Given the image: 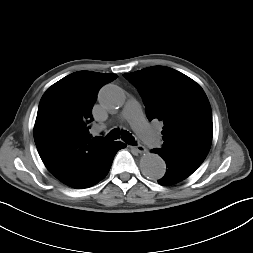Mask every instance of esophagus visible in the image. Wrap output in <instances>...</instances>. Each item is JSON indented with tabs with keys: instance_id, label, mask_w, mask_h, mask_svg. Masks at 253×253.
<instances>
[{
	"instance_id": "esophagus-1",
	"label": "esophagus",
	"mask_w": 253,
	"mask_h": 253,
	"mask_svg": "<svg viewBox=\"0 0 253 253\" xmlns=\"http://www.w3.org/2000/svg\"><path fill=\"white\" fill-rule=\"evenodd\" d=\"M132 148H133L135 151H137L138 153H140V154L146 152V148H145L143 145H141V144H139V145H137V146H133Z\"/></svg>"
}]
</instances>
